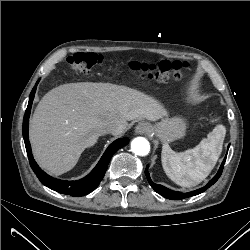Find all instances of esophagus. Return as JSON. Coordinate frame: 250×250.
Segmentation results:
<instances>
[{"label": "esophagus", "mask_w": 250, "mask_h": 250, "mask_svg": "<svg viewBox=\"0 0 250 250\" xmlns=\"http://www.w3.org/2000/svg\"><path fill=\"white\" fill-rule=\"evenodd\" d=\"M150 125L147 122H140L137 124L135 128V132L137 134H144V133H149L150 132Z\"/></svg>", "instance_id": "1"}]
</instances>
